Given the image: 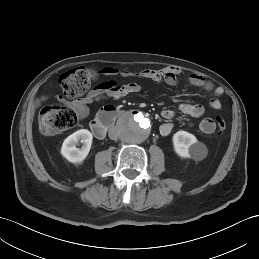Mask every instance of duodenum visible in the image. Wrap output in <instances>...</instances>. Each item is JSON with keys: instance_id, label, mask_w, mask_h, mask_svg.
I'll return each instance as SVG.
<instances>
[{"instance_id": "1", "label": "duodenum", "mask_w": 259, "mask_h": 259, "mask_svg": "<svg viewBox=\"0 0 259 259\" xmlns=\"http://www.w3.org/2000/svg\"><path fill=\"white\" fill-rule=\"evenodd\" d=\"M121 113L122 112L114 106H105L90 123L92 134L98 139L104 138L108 129Z\"/></svg>"}]
</instances>
